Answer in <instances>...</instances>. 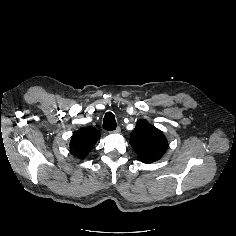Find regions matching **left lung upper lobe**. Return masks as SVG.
<instances>
[{
  "mask_svg": "<svg viewBox=\"0 0 236 236\" xmlns=\"http://www.w3.org/2000/svg\"><path fill=\"white\" fill-rule=\"evenodd\" d=\"M130 144L143 163L159 160L168 148V142L162 131L140 120L130 135Z\"/></svg>",
  "mask_w": 236,
  "mask_h": 236,
  "instance_id": "obj_1",
  "label": "left lung upper lobe"
}]
</instances>
